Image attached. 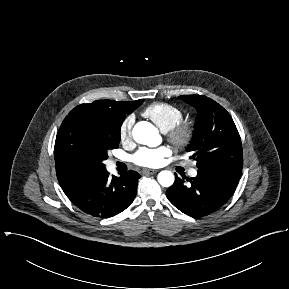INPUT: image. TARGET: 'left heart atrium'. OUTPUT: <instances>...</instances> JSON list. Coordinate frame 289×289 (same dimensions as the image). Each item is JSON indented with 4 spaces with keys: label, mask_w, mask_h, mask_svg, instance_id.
I'll use <instances>...</instances> for the list:
<instances>
[{
    "label": "left heart atrium",
    "mask_w": 289,
    "mask_h": 289,
    "mask_svg": "<svg viewBox=\"0 0 289 289\" xmlns=\"http://www.w3.org/2000/svg\"><path fill=\"white\" fill-rule=\"evenodd\" d=\"M171 155V149L167 146L158 148L139 149L133 156L132 161L142 167H158L163 164L166 157Z\"/></svg>",
    "instance_id": "left-heart-atrium-1"
}]
</instances>
